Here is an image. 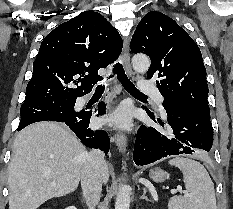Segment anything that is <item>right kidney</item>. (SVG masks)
Returning <instances> with one entry per match:
<instances>
[{
  "label": "right kidney",
  "instance_id": "ca27d5eb",
  "mask_svg": "<svg viewBox=\"0 0 233 209\" xmlns=\"http://www.w3.org/2000/svg\"><path fill=\"white\" fill-rule=\"evenodd\" d=\"M66 209H76L74 206L67 207Z\"/></svg>",
  "mask_w": 233,
  "mask_h": 209
}]
</instances>
